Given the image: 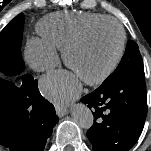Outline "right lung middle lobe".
Returning <instances> with one entry per match:
<instances>
[{
  "mask_svg": "<svg viewBox=\"0 0 151 151\" xmlns=\"http://www.w3.org/2000/svg\"><path fill=\"white\" fill-rule=\"evenodd\" d=\"M23 14L17 15L0 33V72L16 76L24 70L21 43L24 27Z\"/></svg>",
  "mask_w": 151,
  "mask_h": 151,
  "instance_id": "dd1d6c3e",
  "label": "right lung middle lobe"
}]
</instances>
